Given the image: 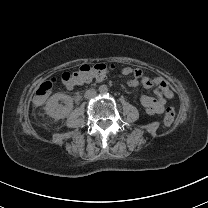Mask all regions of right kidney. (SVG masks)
<instances>
[{"instance_id":"right-kidney-1","label":"right kidney","mask_w":208,"mask_h":208,"mask_svg":"<svg viewBox=\"0 0 208 208\" xmlns=\"http://www.w3.org/2000/svg\"><path fill=\"white\" fill-rule=\"evenodd\" d=\"M59 100L66 101L67 103L66 107L58 108ZM72 109H73L72 99L68 95L61 93H55L54 95H52L48 99L44 107L45 113L53 117L54 119L66 118L69 115V113L72 111Z\"/></svg>"}]
</instances>
